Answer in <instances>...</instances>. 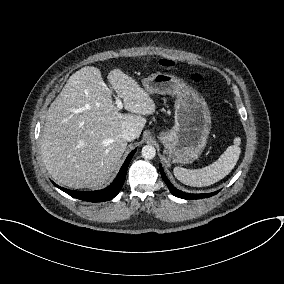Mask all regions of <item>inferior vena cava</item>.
Segmentation results:
<instances>
[{
  "instance_id": "602c4592",
  "label": "inferior vena cava",
  "mask_w": 284,
  "mask_h": 284,
  "mask_svg": "<svg viewBox=\"0 0 284 284\" xmlns=\"http://www.w3.org/2000/svg\"><path fill=\"white\" fill-rule=\"evenodd\" d=\"M122 137L126 141H132L136 138V132L133 128H126L123 130Z\"/></svg>"
}]
</instances>
